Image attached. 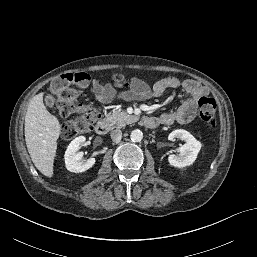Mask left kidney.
I'll return each instance as SVG.
<instances>
[{"instance_id":"left-kidney-1","label":"left kidney","mask_w":257,"mask_h":257,"mask_svg":"<svg viewBox=\"0 0 257 257\" xmlns=\"http://www.w3.org/2000/svg\"><path fill=\"white\" fill-rule=\"evenodd\" d=\"M175 138L184 141L185 144L180 147L179 155H169V164L176 168L192 165L197 158L202 144L192 134L183 129L174 130L168 136L170 141H174Z\"/></svg>"}]
</instances>
